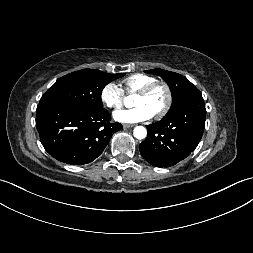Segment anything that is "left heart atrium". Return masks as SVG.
<instances>
[{
	"label": "left heart atrium",
	"mask_w": 253,
	"mask_h": 253,
	"mask_svg": "<svg viewBox=\"0 0 253 253\" xmlns=\"http://www.w3.org/2000/svg\"><path fill=\"white\" fill-rule=\"evenodd\" d=\"M152 117L153 113L145 105H135L132 108L114 112V119L126 124L147 121Z\"/></svg>",
	"instance_id": "obj_1"
}]
</instances>
